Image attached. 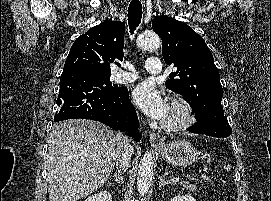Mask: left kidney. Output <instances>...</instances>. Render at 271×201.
Returning <instances> with one entry per match:
<instances>
[{
    "mask_svg": "<svg viewBox=\"0 0 271 201\" xmlns=\"http://www.w3.org/2000/svg\"><path fill=\"white\" fill-rule=\"evenodd\" d=\"M170 201H196L191 195H177L170 199Z\"/></svg>",
    "mask_w": 271,
    "mask_h": 201,
    "instance_id": "1",
    "label": "left kidney"
}]
</instances>
